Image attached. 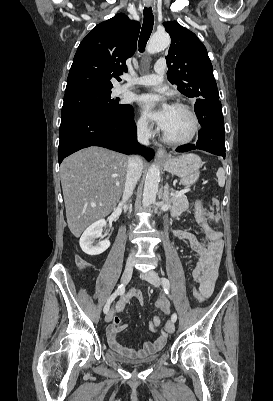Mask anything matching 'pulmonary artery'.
Instances as JSON below:
<instances>
[{
    "mask_svg": "<svg viewBox=\"0 0 273 401\" xmlns=\"http://www.w3.org/2000/svg\"><path fill=\"white\" fill-rule=\"evenodd\" d=\"M155 69H156V74H143L139 75L137 77V81H132L130 83V86L132 88H137V89H145L148 86V83H161L164 80L163 77V72L166 71L167 66H166V60L163 57L158 58L157 60ZM121 86L123 88H127L129 86V83L127 81H123L121 83Z\"/></svg>",
    "mask_w": 273,
    "mask_h": 401,
    "instance_id": "pulmonary-artery-1",
    "label": "pulmonary artery"
}]
</instances>
